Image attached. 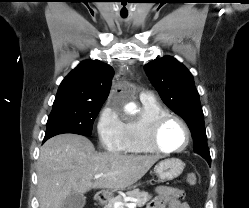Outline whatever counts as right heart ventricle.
<instances>
[{"instance_id": "e07e8e85", "label": "right heart ventricle", "mask_w": 249, "mask_h": 208, "mask_svg": "<svg viewBox=\"0 0 249 208\" xmlns=\"http://www.w3.org/2000/svg\"><path fill=\"white\" fill-rule=\"evenodd\" d=\"M169 111L156 101H142L140 114L125 123L123 152L127 154L153 153L146 146V134L151 123Z\"/></svg>"}]
</instances>
